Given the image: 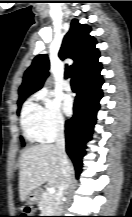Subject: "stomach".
<instances>
[{
  "instance_id": "0dacf381",
  "label": "stomach",
  "mask_w": 132,
  "mask_h": 217,
  "mask_svg": "<svg viewBox=\"0 0 132 217\" xmlns=\"http://www.w3.org/2000/svg\"><path fill=\"white\" fill-rule=\"evenodd\" d=\"M42 191L40 188L32 190L26 197V202L28 205L37 204L41 199Z\"/></svg>"
}]
</instances>
